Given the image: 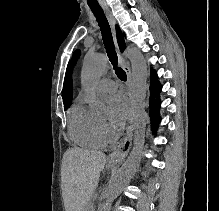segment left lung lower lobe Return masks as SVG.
<instances>
[{
	"label": "left lung lower lobe",
	"mask_w": 219,
	"mask_h": 211,
	"mask_svg": "<svg viewBox=\"0 0 219 211\" xmlns=\"http://www.w3.org/2000/svg\"><path fill=\"white\" fill-rule=\"evenodd\" d=\"M161 90V85L157 81V74L154 70L151 71V83H150V93H151V101H150V117L152 122V130L156 131L157 126L160 122L159 116V106L160 101L157 99L153 101V98L158 96V93Z\"/></svg>",
	"instance_id": "left-lung-lower-lobe-1"
}]
</instances>
